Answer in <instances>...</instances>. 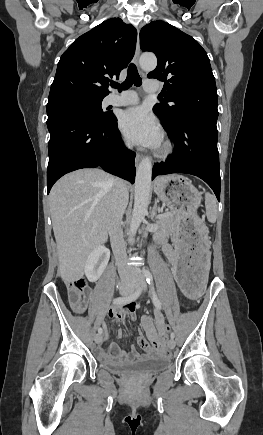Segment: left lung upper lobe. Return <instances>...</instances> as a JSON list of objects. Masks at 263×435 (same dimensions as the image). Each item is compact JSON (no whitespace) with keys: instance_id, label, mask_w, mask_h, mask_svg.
<instances>
[{"instance_id":"5c2ea615","label":"left lung upper lobe","mask_w":263,"mask_h":435,"mask_svg":"<svg viewBox=\"0 0 263 435\" xmlns=\"http://www.w3.org/2000/svg\"><path fill=\"white\" fill-rule=\"evenodd\" d=\"M140 47L157 56V67L148 78L165 82V100L153 108L164 127L170 128L188 117L217 120L215 78L207 53L195 39L158 20L141 29Z\"/></svg>"}]
</instances>
